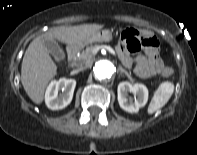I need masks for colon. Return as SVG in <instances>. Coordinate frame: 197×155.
<instances>
[{"label": "colon", "mask_w": 197, "mask_h": 155, "mask_svg": "<svg viewBox=\"0 0 197 155\" xmlns=\"http://www.w3.org/2000/svg\"><path fill=\"white\" fill-rule=\"evenodd\" d=\"M122 38L127 41V45L130 51L136 52L143 47L156 46L157 39L153 36L143 37L140 33L133 28L125 29L122 33ZM173 70L169 67L163 71V76L167 77L172 74Z\"/></svg>", "instance_id": "obj_1"}]
</instances>
